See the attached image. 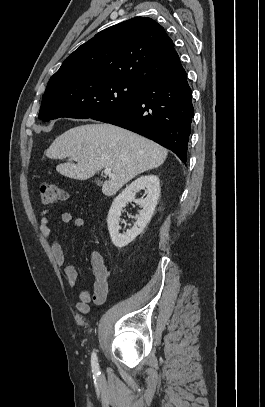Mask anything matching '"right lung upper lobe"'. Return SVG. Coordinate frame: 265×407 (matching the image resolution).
<instances>
[{"mask_svg": "<svg viewBox=\"0 0 265 407\" xmlns=\"http://www.w3.org/2000/svg\"><path fill=\"white\" fill-rule=\"evenodd\" d=\"M178 59L164 28L151 18L136 17L111 26L82 44L66 58L49 83L102 77L146 86L169 74Z\"/></svg>", "mask_w": 265, "mask_h": 407, "instance_id": "cb5924a9", "label": "right lung upper lobe"}]
</instances>
